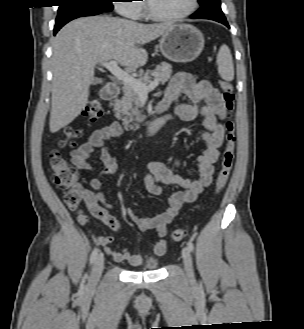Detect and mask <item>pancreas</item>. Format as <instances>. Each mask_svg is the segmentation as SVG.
<instances>
[{
    "label": "pancreas",
    "mask_w": 304,
    "mask_h": 329,
    "mask_svg": "<svg viewBox=\"0 0 304 329\" xmlns=\"http://www.w3.org/2000/svg\"><path fill=\"white\" fill-rule=\"evenodd\" d=\"M171 74L172 66L163 62L154 71L147 70L146 73L140 74L138 80L147 85L151 82L152 75H154L155 79H159V82L164 84L170 79ZM138 108V93L131 86L124 84L122 98L117 99L114 103L116 118L122 121L124 127H131L133 121L140 122L143 120Z\"/></svg>",
    "instance_id": "cf45deb5"
}]
</instances>
